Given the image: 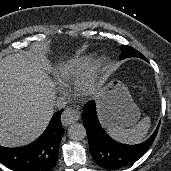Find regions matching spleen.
Returning a JSON list of instances; mask_svg holds the SVG:
<instances>
[{
  "label": "spleen",
  "instance_id": "spleen-1",
  "mask_svg": "<svg viewBox=\"0 0 171 171\" xmlns=\"http://www.w3.org/2000/svg\"><path fill=\"white\" fill-rule=\"evenodd\" d=\"M151 126L150 117L143 118L134 127L126 129L105 125L107 133L115 140L126 144H139L146 137Z\"/></svg>",
  "mask_w": 171,
  "mask_h": 171
}]
</instances>
